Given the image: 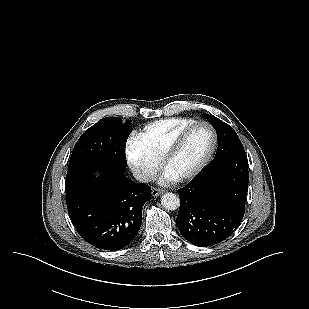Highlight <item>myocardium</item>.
Returning <instances> with one entry per match:
<instances>
[{
    "mask_svg": "<svg viewBox=\"0 0 309 309\" xmlns=\"http://www.w3.org/2000/svg\"><path fill=\"white\" fill-rule=\"evenodd\" d=\"M199 126H205L207 127L212 135V142L211 146L207 152V154L204 156V158L190 171L177 176L176 180L179 182H185L188 180H191L195 178L210 162L216 146H217V133L214 127L206 122V121H195L191 125L187 126L171 143V145L168 147L167 151L165 152L164 156L162 157V166L164 169H167L170 161L175 157V155L180 151V149L183 147L184 143L186 142L187 138L189 137L190 133Z\"/></svg>",
    "mask_w": 309,
    "mask_h": 309,
    "instance_id": "f54148a6",
    "label": "myocardium"
}]
</instances>
